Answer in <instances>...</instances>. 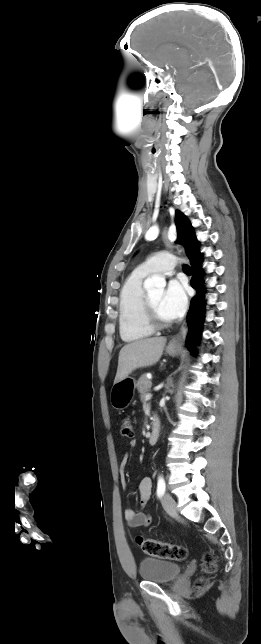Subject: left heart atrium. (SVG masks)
<instances>
[{
    "mask_svg": "<svg viewBox=\"0 0 261 644\" xmlns=\"http://www.w3.org/2000/svg\"><path fill=\"white\" fill-rule=\"evenodd\" d=\"M187 307V296L183 284L176 279L169 281L162 298V308L170 320L183 315Z\"/></svg>",
    "mask_w": 261,
    "mask_h": 644,
    "instance_id": "left-heart-atrium-1",
    "label": "left heart atrium"
}]
</instances>
